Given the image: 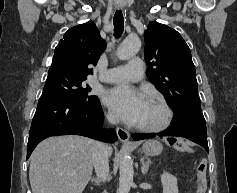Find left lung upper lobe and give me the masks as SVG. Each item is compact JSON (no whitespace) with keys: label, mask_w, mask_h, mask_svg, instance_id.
Masks as SVG:
<instances>
[{"label":"left lung upper lobe","mask_w":237,"mask_h":193,"mask_svg":"<svg viewBox=\"0 0 237 193\" xmlns=\"http://www.w3.org/2000/svg\"><path fill=\"white\" fill-rule=\"evenodd\" d=\"M147 77L174 108L173 124L198 121L205 124L198 97L191 52L174 29L151 22L144 32Z\"/></svg>","instance_id":"left-lung-upper-lobe-1"}]
</instances>
